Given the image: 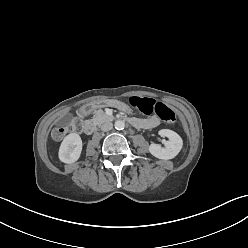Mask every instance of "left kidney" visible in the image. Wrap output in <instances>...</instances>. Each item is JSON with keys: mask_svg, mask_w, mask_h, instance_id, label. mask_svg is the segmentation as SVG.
Masks as SVG:
<instances>
[{"mask_svg": "<svg viewBox=\"0 0 248 248\" xmlns=\"http://www.w3.org/2000/svg\"><path fill=\"white\" fill-rule=\"evenodd\" d=\"M159 135L167 137L168 141L164 142V147L152 143L149 146V152L158 159L168 160L174 158L182 149V138L176 132L169 129L160 130Z\"/></svg>", "mask_w": 248, "mask_h": 248, "instance_id": "obj_1", "label": "left kidney"}]
</instances>
